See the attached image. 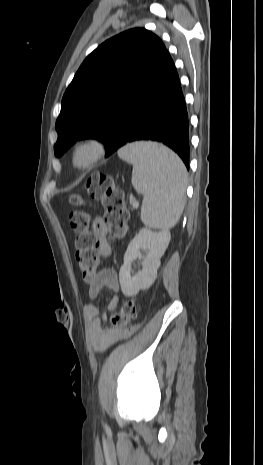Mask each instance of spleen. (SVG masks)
I'll list each match as a JSON object with an SVG mask.
<instances>
[{"label": "spleen", "instance_id": "3e777b00", "mask_svg": "<svg viewBox=\"0 0 263 465\" xmlns=\"http://www.w3.org/2000/svg\"><path fill=\"white\" fill-rule=\"evenodd\" d=\"M133 165L132 185L144 196L141 220L150 228L174 227L184 209L187 171L182 160L164 146L136 142L118 151Z\"/></svg>", "mask_w": 263, "mask_h": 465}]
</instances>
